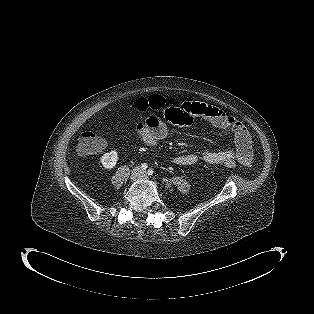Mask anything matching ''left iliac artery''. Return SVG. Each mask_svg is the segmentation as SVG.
<instances>
[{
  "label": "left iliac artery",
  "mask_w": 314,
  "mask_h": 314,
  "mask_svg": "<svg viewBox=\"0 0 314 314\" xmlns=\"http://www.w3.org/2000/svg\"><path fill=\"white\" fill-rule=\"evenodd\" d=\"M153 174V170L152 169H149L148 170V175H152Z\"/></svg>",
  "instance_id": "1"
}]
</instances>
